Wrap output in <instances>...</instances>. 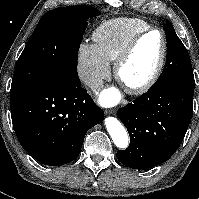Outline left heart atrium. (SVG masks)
<instances>
[{"label": "left heart atrium", "instance_id": "obj_1", "mask_svg": "<svg viewBox=\"0 0 199 199\" xmlns=\"http://www.w3.org/2000/svg\"><path fill=\"white\" fill-rule=\"evenodd\" d=\"M121 94L116 88H109L101 92L99 101L104 106H113L120 101Z\"/></svg>", "mask_w": 199, "mask_h": 199}]
</instances>
